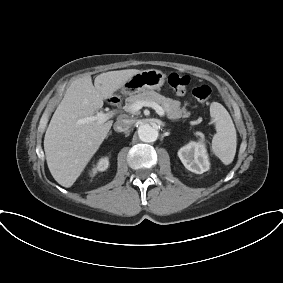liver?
Instances as JSON below:
<instances>
[{
  "mask_svg": "<svg viewBox=\"0 0 283 283\" xmlns=\"http://www.w3.org/2000/svg\"><path fill=\"white\" fill-rule=\"evenodd\" d=\"M137 69L109 71L92 83L85 75L73 81L54 112L44 137V151L50 173L63 187H71L106 138L113 121L81 124L94 116L103 100L124 86Z\"/></svg>",
  "mask_w": 283,
  "mask_h": 283,
  "instance_id": "liver-1",
  "label": "liver"
}]
</instances>
